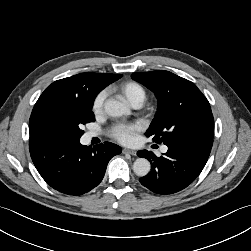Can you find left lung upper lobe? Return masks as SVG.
<instances>
[{
	"instance_id": "5c2ea615",
	"label": "left lung upper lobe",
	"mask_w": 251,
	"mask_h": 251,
	"mask_svg": "<svg viewBox=\"0 0 251 251\" xmlns=\"http://www.w3.org/2000/svg\"><path fill=\"white\" fill-rule=\"evenodd\" d=\"M132 79L158 99V110L146 136L165 145L214 137V119L208 100L197 86L169 71L135 72Z\"/></svg>"
}]
</instances>
